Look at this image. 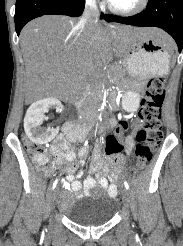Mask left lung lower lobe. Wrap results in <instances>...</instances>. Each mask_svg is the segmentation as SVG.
Listing matches in <instances>:
<instances>
[{
    "label": "left lung lower lobe",
    "mask_w": 183,
    "mask_h": 246,
    "mask_svg": "<svg viewBox=\"0 0 183 246\" xmlns=\"http://www.w3.org/2000/svg\"><path fill=\"white\" fill-rule=\"evenodd\" d=\"M105 20L140 27L162 28L175 39L179 52L183 48V0H148L146 9L140 14L130 17L106 14Z\"/></svg>",
    "instance_id": "left-lung-lower-lobe-1"
}]
</instances>
